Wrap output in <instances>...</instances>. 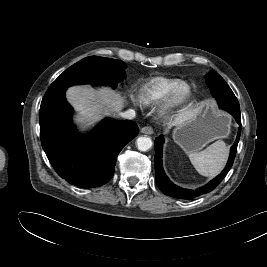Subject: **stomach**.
Here are the masks:
<instances>
[{"instance_id":"obj_1","label":"stomach","mask_w":267,"mask_h":267,"mask_svg":"<svg viewBox=\"0 0 267 267\" xmlns=\"http://www.w3.org/2000/svg\"><path fill=\"white\" fill-rule=\"evenodd\" d=\"M231 117L213 103L204 102L188 119L176 125L173 139L185 153L201 150L208 143L226 138L230 133Z\"/></svg>"}]
</instances>
